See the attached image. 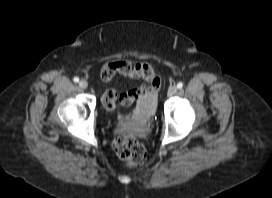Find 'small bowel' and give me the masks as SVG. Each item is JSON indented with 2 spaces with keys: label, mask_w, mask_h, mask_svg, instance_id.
<instances>
[{
  "label": "small bowel",
  "mask_w": 272,
  "mask_h": 198,
  "mask_svg": "<svg viewBox=\"0 0 272 198\" xmlns=\"http://www.w3.org/2000/svg\"><path fill=\"white\" fill-rule=\"evenodd\" d=\"M113 70L111 79L115 75L126 78L141 80L142 84L118 95L114 89L106 91L103 96V103L109 110L113 109L115 103L123 106H131L134 102H140L146 99L156 97L161 86V81L155 76L153 68L147 63H132L127 60H116L107 66Z\"/></svg>",
  "instance_id": "obj_1"
}]
</instances>
